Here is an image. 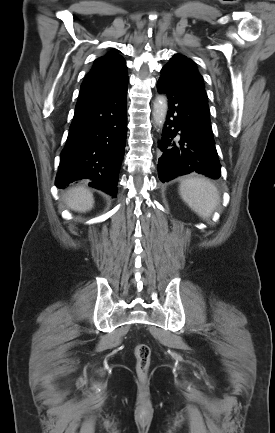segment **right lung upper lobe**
<instances>
[{"label":"right lung upper lobe","instance_id":"obj_1","mask_svg":"<svg viewBox=\"0 0 275 433\" xmlns=\"http://www.w3.org/2000/svg\"><path fill=\"white\" fill-rule=\"evenodd\" d=\"M127 84L125 60L116 51H111L95 60L81 85L78 100L100 92L121 90Z\"/></svg>","mask_w":275,"mask_h":433}]
</instances>
